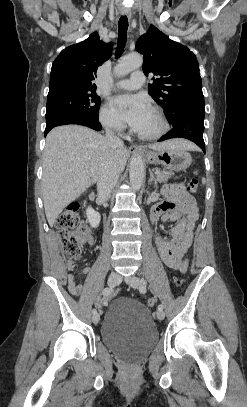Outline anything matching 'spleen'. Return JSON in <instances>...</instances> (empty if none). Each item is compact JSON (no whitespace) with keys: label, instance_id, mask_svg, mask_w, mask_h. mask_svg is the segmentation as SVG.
Wrapping results in <instances>:
<instances>
[{"label":"spleen","instance_id":"3e777b00","mask_svg":"<svg viewBox=\"0 0 247 407\" xmlns=\"http://www.w3.org/2000/svg\"><path fill=\"white\" fill-rule=\"evenodd\" d=\"M202 183L205 184V179L204 178L202 179Z\"/></svg>","mask_w":247,"mask_h":407}]
</instances>
